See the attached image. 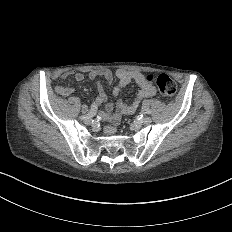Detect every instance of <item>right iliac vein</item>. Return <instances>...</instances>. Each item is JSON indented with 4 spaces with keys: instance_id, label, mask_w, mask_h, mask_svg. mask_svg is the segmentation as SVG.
Instances as JSON below:
<instances>
[{
    "instance_id": "63e3f726",
    "label": "right iliac vein",
    "mask_w": 232,
    "mask_h": 232,
    "mask_svg": "<svg viewBox=\"0 0 232 232\" xmlns=\"http://www.w3.org/2000/svg\"><path fill=\"white\" fill-rule=\"evenodd\" d=\"M84 123H85L86 125H91V124H92V120H91V119H85V120H84Z\"/></svg>"
}]
</instances>
